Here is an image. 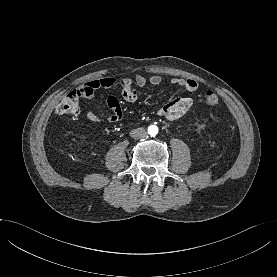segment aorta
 Listing matches in <instances>:
<instances>
[{
  "mask_svg": "<svg viewBox=\"0 0 277 277\" xmlns=\"http://www.w3.org/2000/svg\"><path fill=\"white\" fill-rule=\"evenodd\" d=\"M148 132L151 135H156L158 133V128L156 126H150L148 128Z\"/></svg>",
  "mask_w": 277,
  "mask_h": 277,
  "instance_id": "obj_1",
  "label": "aorta"
}]
</instances>
